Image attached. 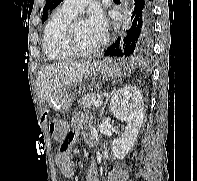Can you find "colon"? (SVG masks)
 Segmentation results:
<instances>
[{
    "label": "colon",
    "instance_id": "1",
    "mask_svg": "<svg viewBox=\"0 0 197 181\" xmlns=\"http://www.w3.org/2000/svg\"><path fill=\"white\" fill-rule=\"evenodd\" d=\"M63 130V124L60 121H52L49 125V131L51 134L55 135L58 137ZM68 149V144L66 141H62L60 145V150L62 151H67Z\"/></svg>",
    "mask_w": 197,
    "mask_h": 181
}]
</instances>
